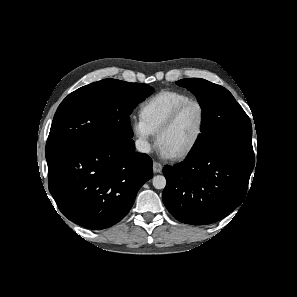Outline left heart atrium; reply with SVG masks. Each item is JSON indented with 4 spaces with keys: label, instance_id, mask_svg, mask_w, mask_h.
I'll use <instances>...</instances> for the list:
<instances>
[{
    "label": "left heart atrium",
    "instance_id": "obj_1",
    "mask_svg": "<svg viewBox=\"0 0 297 297\" xmlns=\"http://www.w3.org/2000/svg\"><path fill=\"white\" fill-rule=\"evenodd\" d=\"M159 149H160V153L165 156V157H169L171 154L162 146L159 145Z\"/></svg>",
    "mask_w": 297,
    "mask_h": 297
}]
</instances>
